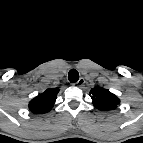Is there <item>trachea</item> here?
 I'll list each match as a JSON object with an SVG mask.
<instances>
[{
    "instance_id": "trachea-1",
    "label": "trachea",
    "mask_w": 143,
    "mask_h": 143,
    "mask_svg": "<svg viewBox=\"0 0 143 143\" xmlns=\"http://www.w3.org/2000/svg\"><path fill=\"white\" fill-rule=\"evenodd\" d=\"M68 79L71 83H75L79 80V73L76 69H71L68 73Z\"/></svg>"
}]
</instances>
